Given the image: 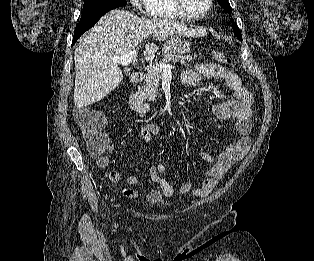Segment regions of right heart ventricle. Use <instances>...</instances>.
Masks as SVG:
<instances>
[{"label": "right heart ventricle", "instance_id": "1", "mask_svg": "<svg viewBox=\"0 0 314 261\" xmlns=\"http://www.w3.org/2000/svg\"><path fill=\"white\" fill-rule=\"evenodd\" d=\"M147 12L153 17L189 19L175 7L172 0H150Z\"/></svg>", "mask_w": 314, "mask_h": 261}]
</instances>
